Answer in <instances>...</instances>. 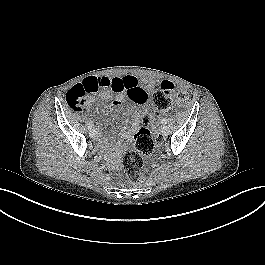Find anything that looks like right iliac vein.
<instances>
[{"instance_id": "right-iliac-vein-1", "label": "right iliac vein", "mask_w": 265, "mask_h": 265, "mask_svg": "<svg viewBox=\"0 0 265 265\" xmlns=\"http://www.w3.org/2000/svg\"><path fill=\"white\" fill-rule=\"evenodd\" d=\"M89 136L92 137V138H95L97 136V132L92 129V130L89 131Z\"/></svg>"}]
</instances>
